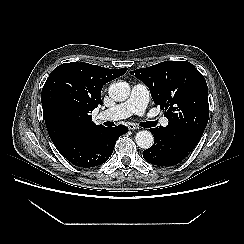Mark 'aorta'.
<instances>
[{"mask_svg": "<svg viewBox=\"0 0 244 244\" xmlns=\"http://www.w3.org/2000/svg\"><path fill=\"white\" fill-rule=\"evenodd\" d=\"M130 95V86L127 82L112 83L109 87V96L115 101H125ZM136 144L143 149L150 148L154 137L150 131H139L135 136Z\"/></svg>", "mask_w": 244, "mask_h": 244, "instance_id": "aorta-1", "label": "aorta"}]
</instances>
